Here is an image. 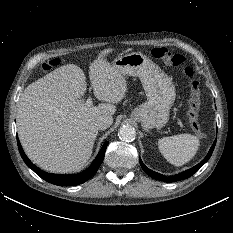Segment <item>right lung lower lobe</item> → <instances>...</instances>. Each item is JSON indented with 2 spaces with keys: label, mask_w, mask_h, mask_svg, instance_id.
Returning <instances> with one entry per match:
<instances>
[{
  "label": "right lung lower lobe",
  "mask_w": 233,
  "mask_h": 233,
  "mask_svg": "<svg viewBox=\"0 0 233 233\" xmlns=\"http://www.w3.org/2000/svg\"><path fill=\"white\" fill-rule=\"evenodd\" d=\"M108 143H109V141H106L103 144L100 152L98 153L97 157L95 158L92 165L88 169H86L85 171H83L80 174L61 175V174L46 173V172L42 171L41 169H39L38 167H36L25 155V153L20 145V142L17 138L18 148H19L20 154H21L24 162L26 163V165L29 168H31L42 179L46 180L49 183L59 185V186L79 185V184H82L85 181H87L89 178H91L95 174V172L98 170V168L100 167V165L104 159V155H105V151H106V148L108 146Z\"/></svg>",
  "instance_id": "obj_1"
}]
</instances>
